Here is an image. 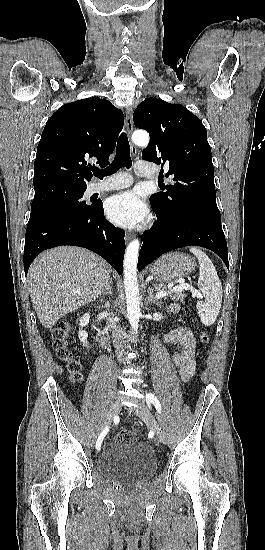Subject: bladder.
Returning a JSON list of instances; mask_svg holds the SVG:
<instances>
[{"instance_id": "obj_1", "label": "bladder", "mask_w": 265, "mask_h": 550, "mask_svg": "<svg viewBox=\"0 0 265 550\" xmlns=\"http://www.w3.org/2000/svg\"><path fill=\"white\" fill-rule=\"evenodd\" d=\"M97 465L100 472L106 476L124 482H141L154 474L157 462L145 444L112 443L103 449Z\"/></svg>"}]
</instances>
